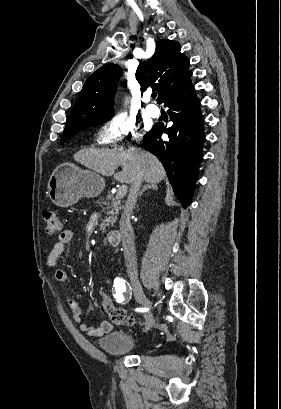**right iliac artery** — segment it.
<instances>
[{"mask_svg":"<svg viewBox=\"0 0 281 409\" xmlns=\"http://www.w3.org/2000/svg\"><path fill=\"white\" fill-rule=\"evenodd\" d=\"M113 295L118 303H127L132 296L130 284L122 278H115L113 284Z\"/></svg>","mask_w":281,"mask_h":409,"instance_id":"82829eb1","label":"right iliac artery"}]
</instances>
